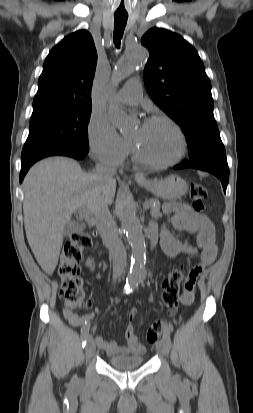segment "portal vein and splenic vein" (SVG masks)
Returning <instances> with one entry per match:
<instances>
[{
    "label": "portal vein and splenic vein",
    "instance_id": "1",
    "mask_svg": "<svg viewBox=\"0 0 253 413\" xmlns=\"http://www.w3.org/2000/svg\"><path fill=\"white\" fill-rule=\"evenodd\" d=\"M144 209L148 210L149 209V204L147 202H144L143 204ZM79 216L81 218H89L90 217V212L85 207H81L78 209Z\"/></svg>",
    "mask_w": 253,
    "mask_h": 413
}]
</instances>
